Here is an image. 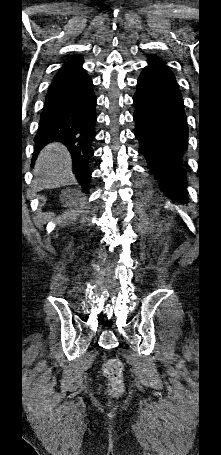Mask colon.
<instances>
[{"label":"colon","instance_id":"colon-1","mask_svg":"<svg viewBox=\"0 0 221 455\" xmlns=\"http://www.w3.org/2000/svg\"><path fill=\"white\" fill-rule=\"evenodd\" d=\"M103 373L108 379L109 388L113 393L123 389V364L118 358H109L103 367Z\"/></svg>","mask_w":221,"mask_h":455}]
</instances>
